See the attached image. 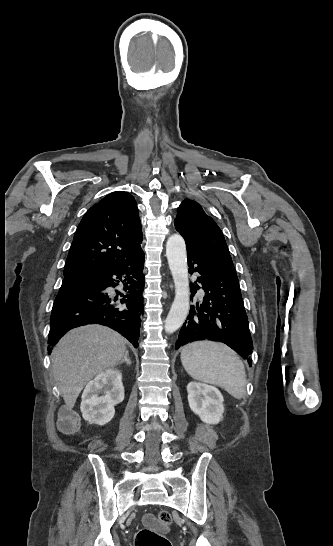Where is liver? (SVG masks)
<instances>
[{
  "label": "liver",
  "instance_id": "6515ba94",
  "mask_svg": "<svg viewBox=\"0 0 333 546\" xmlns=\"http://www.w3.org/2000/svg\"><path fill=\"white\" fill-rule=\"evenodd\" d=\"M125 339L100 325L69 331L52 352V372L71 412L84 386L97 374L116 366L125 355Z\"/></svg>",
  "mask_w": 333,
  "mask_h": 546
}]
</instances>
